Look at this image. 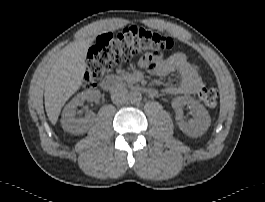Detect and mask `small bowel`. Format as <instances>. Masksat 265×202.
Masks as SVG:
<instances>
[{
  "instance_id": "small-bowel-1",
  "label": "small bowel",
  "mask_w": 265,
  "mask_h": 202,
  "mask_svg": "<svg viewBox=\"0 0 265 202\" xmlns=\"http://www.w3.org/2000/svg\"><path fill=\"white\" fill-rule=\"evenodd\" d=\"M175 70L179 72L180 82L166 89L168 95L195 94L204 87L198 66L182 52L175 53L165 59L158 57L151 74L164 78Z\"/></svg>"
}]
</instances>
